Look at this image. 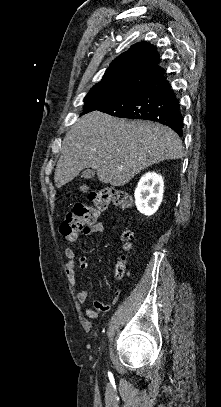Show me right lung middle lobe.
I'll use <instances>...</instances> for the list:
<instances>
[{"label": "right lung middle lobe", "mask_w": 221, "mask_h": 407, "mask_svg": "<svg viewBox=\"0 0 221 407\" xmlns=\"http://www.w3.org/2000/svg\"><path fill=\"white\" fill-rule=\"evenodd\" d=\"M140 86L133 85L124 89L92 88L84 98V112L99 109L128 95Z\"/></svg>", "instance_id": "1"}]
</instances>
